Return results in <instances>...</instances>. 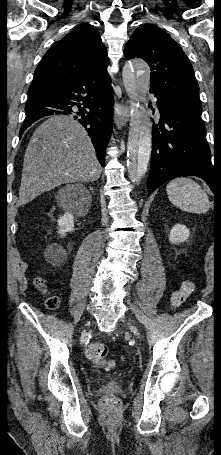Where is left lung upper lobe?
Segmentation results:
<instances>
[{"mask_svg":"<svg viewBox=\"0 0 221 455\" xmlns=\"http://www.w3.org/2000/svg\"><path fill=\"white\" fill-rule=\"evenodd\" d=\"M126 59H144L151 69L150 92L197 114L199 86L182 48L156 25L138 27L124 49Z\"/></svg>","mask_w":221,"mask_h":455,"instance_id":"left-lung-upper-lobe-1","label":"left lung upper lobe"}]
</instances>
